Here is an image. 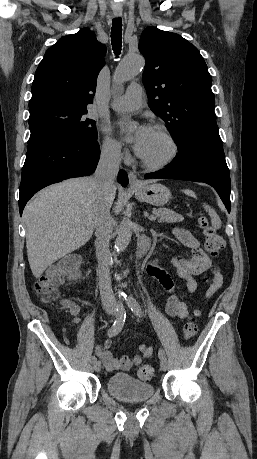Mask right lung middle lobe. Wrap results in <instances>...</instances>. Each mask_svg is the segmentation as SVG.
I'll use <instances>...</instances> for the list:
<instances>
[{"label":"right lung middle lobe","mask_w":257,"mask_h":459,"mask_svg":"<svg viewBox=\"0 0 257 459\" xmlns=\"http://www.w3.org/2000/svg\"><path fill=\"white\" fill-rule=\"evenodd\" d=\"M86 107L49 106L30 112L31 133L44 131L82 140H97L95 121L85 116Z\"/></svg>","instance_id":"right-lung-middle-lobe-1"}]
</instances>
